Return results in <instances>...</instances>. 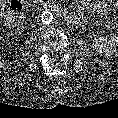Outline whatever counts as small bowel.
I'll return each mask as SVG.
<instances>
[{
  "label": "small bowel",
  "mask_w": 118,
  "mask_h": 118,
  "mask_svg": "<svg viewBox=\"0 0 118 118\" xmlns=\"http://www.w3.org/2000/svg\"><path fill=\"white\" fill-rule=\"evenodd\" d=\"M85 7L98 14H106L109 11V4L102 0H86ZM113 39L118 44V34H115Z\"/></svg>",
  "instance_id": "c3829d8e"
}]
</instances>
